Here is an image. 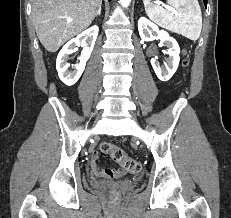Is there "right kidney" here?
<instances>
[{"label": "right kidney", "instance_id": "right-kidney-1", "mask_svg": "<svg viewBox=\"0 0 231 218\" xmlns=\"http://www.w3.org/2000/svg\"><path fill=\"white\" fill-rule=\"evenodd\" d=\"M98 31V26L94 25L90 27L79 34L76 38L67 42L59 52L56 60V69L58 71L59 78L66 85H74L82 75L86 62L93 50ZM80 45L83 47V51L79 58L80 62L74 65L73 71H69L68 68L70 67V64L67 63L69 55L73 54L76 51L75 47Z\"/></svg>", "mask_w": 231, "mask_h": 218}]
</instances>
